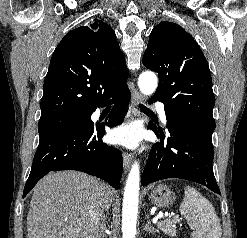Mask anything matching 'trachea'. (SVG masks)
<instances>
[{"instance_id":"1","label":"trachea","mask_w":247,"mask_h":238,"mask_svg":"<svg viewBox=\"0 0 247 238\" xmlns=\"http://www.w3.org/2000/svg\"><path fill=\"white\" fill-rule=\"evenodd\" d=\"M140 108L144 109V110H148L147 107H145L144 105H140Z\"/></svg>"}]
</instances>
